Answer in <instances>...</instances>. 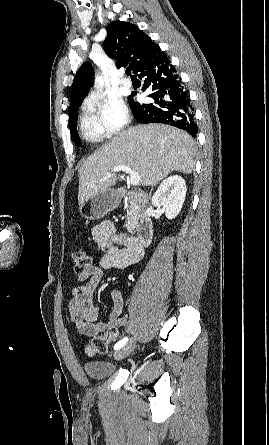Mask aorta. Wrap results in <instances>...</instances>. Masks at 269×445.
Listing matches in <instances>:
<instances>
[{"label": "aorta", "mask_w": 269, "mask_h": 445, "mask_svg": "<svg viewBox=\"0 0 269 445\" xmlns=\"http://www.w3.org/2000/svg\"><path fill=\"white\" fill-rule=\"evenodd\" d=\"M95 83L98 87L102 88L104 85V80L102 76L96 75L95 76Z\"/></svg>", "instance_id": "762f6f07"}]
</instances>
